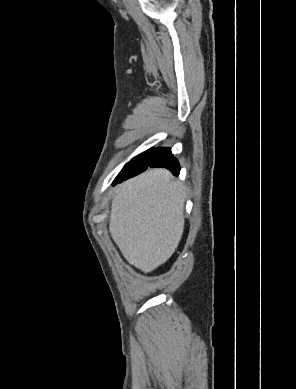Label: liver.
I'll return each instance as SVG.
<instances>
[{
  "instance_id": "6515ba94",
  "label": "liver",
  "mask_w": 296,
  "mask_h": 389,
  "mask_svg": "<svg viewBox=\"0 0 296 389\" xmlns=\"http://www.w3.org/2000/svg\"><path fill=\"white\" fill-rule=\"evenodd\" d=\"M185 189L166 169L124 182L112 200L109 231L129 264L145 273L175 252L184 230Z\"/></svg>"
}]
</instances>
